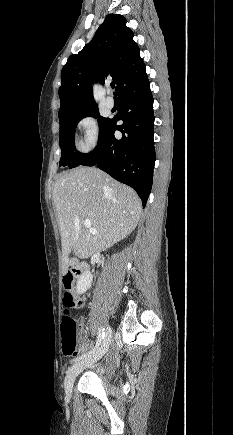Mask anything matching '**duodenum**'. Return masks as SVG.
Returning <instances> with one entry per match:
<instances>
[{
  "mask_svg": "<svg viewBox=\"0 0 233 435\" xmlns=\"http://www.w3.org/2000/svg\"><path fill=\"white\" fill-rule=\"evenodd\" d=\"M86 269V265L79 261V260H75L72 271L75 275L81 274L84 270Z\"/></svg>",
  "mask_w": 233,
  "mask_h": 435,
  "instance_id": "1",
  "label": "duodenum"
}]
</instances>
